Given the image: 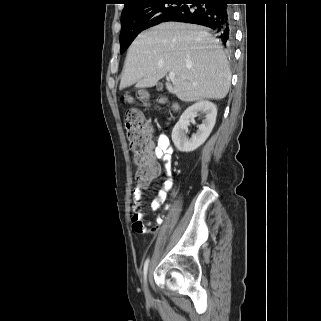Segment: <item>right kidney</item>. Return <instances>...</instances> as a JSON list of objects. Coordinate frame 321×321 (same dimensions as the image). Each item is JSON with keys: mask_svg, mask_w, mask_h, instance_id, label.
I'll return each mask as SVG.
<instances>
[{"mask_svg": "<svg viewBox=\"0 0 321 321\" xmlns=\"http://www.w3.org/2000/svg\"><path fill=\"white\" fill-rule=\"evenodd\" d=\"M198 112L205 114V119L198 126V130L189 139L186 135L190 120L194 119ZM217 116V107L208 100H201L190 107L181 115L179 121L172 130V141L181 152H192L200 147L209 137Z\"/></svg>", "mask_w": 321, "mask_h": 321, "instance_id": "1", "label": "right kidney"}]
</instances>
